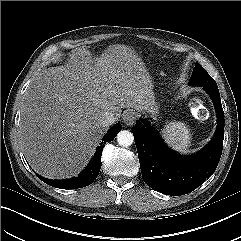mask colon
Wrapping results in <instances>:
<instances>
[{
    "instance_id": "1",
    "label": "colon",
    "mask_w": 241,
    "mask_h": 241,
    "mask_svg": "<svg viewBox=\"0 0 241 241\" xmlns=\"http://www.w3.org/2000/svg\"><path fill=\"white\" fill-rule=\"evenodd\" d=\"M191 107L196 110V114L199 118L204 119L207 117V110L203 107L199 99H194L191 102Z\"/></svg>"
}]
</instances>
